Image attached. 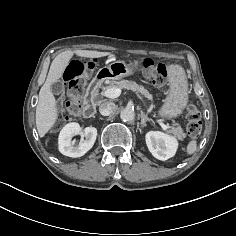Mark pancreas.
Here are the masks:
<instances>
[{
    "label": "pancreas",
    "mask_w": 236,
    "mask_h": 236,
    "mask_svg": "<svg viewBox=\"0 0 236 236\" xmlns=\"http://www.w3.org/2000/svg\"><path fill=\"white\" fill-rule=\"evenodd\" d=\"M108 88L128 89V90H132L134 92L141 93L142 95H144L148 99L152 98V96L148 92V90H146L143 86L138 85L134 81L121 80L118 82L111 83L109 87H102L103 91H105ZM168 132L180 140H182L183 138L186 137L184 130L181 128V126L179 124H175L174 126H172Z\"/></svg>",
    "instance_id": "1"
}]
</instances>
